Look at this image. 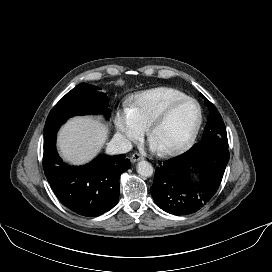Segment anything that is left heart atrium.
<instances>
[{
  "label": "left heart atrium",
  "instance_id": "1",
  "mask_svg": "<svg viewBox=\"0 0 272 272\" xmlns=\"http://www.w3.org/2000/svg\"><path fill=\"white\" fill-rule=\"evenodd\" d=\"M150 147H151V149H153V150H160V149L157 147V145H156L155 143H153L152 141L150 142Z\"/></svg>",
  "mask_w": 272,
  "mask_h": 272
}]
</instances>
